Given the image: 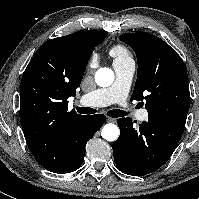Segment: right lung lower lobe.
Segmentation results:
<instances>
[{
  "label": "right lung lower lobe",
  "mask_w": 199,
  "mask_h": 199,
  "mask_svg": "<svg viewBox=\"0 0 199 199\" xmlns=\"http://www.w3.org/2000/svg\"><path fill=\"white\" fill-rule=\"evenodd\" d=\"M105 121L106 116L103 114L83 115L74 120L55 141L42 145L26 136L25 139L31 153L41 166L53 173H70L82 165L87 141Z\"/></svg>",
  "instance_id": "obj_1"
}]
</instances>
